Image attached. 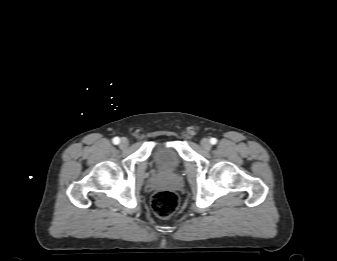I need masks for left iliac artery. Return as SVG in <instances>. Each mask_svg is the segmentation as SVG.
<instances>
[{
  "label": "left iliac artery",
  "instance_id": "obj_1",
  "mask_svg": "<svg viewBox=\"0 0 337 261\" xmlns=\"http://www.w3.org/2000/svg\"><path fill=\"white\" fill-rule=\"evenodd\" d=\"M210 143L215 145L217 143V139L216 138H211L210 139Z\"/></svg>",
  "mask_w": 337,
  "mask_h": 261
}]
</instances>
